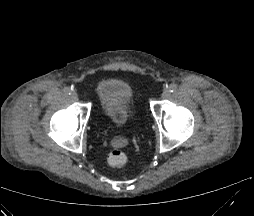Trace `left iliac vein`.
Wrapping results in <instances>:
<instances>
[{
    "instance_id": "1",
    "label": "left iliac vein",
    "mask_w": 254,
    "mask_h": 216,
    "mask_svg": "<svg viewBox=\"0 0 254 216\" xmlns=\"http://www.w3.org/2000/svg\"><path fill=\"white\" fill-rule=\"evenodd\" d=\"M169 96H170V92H169V90H167V89H165V90L162 92V94H161V97H162L163 99H167Z\"/></svg>"
}]
</instances>
